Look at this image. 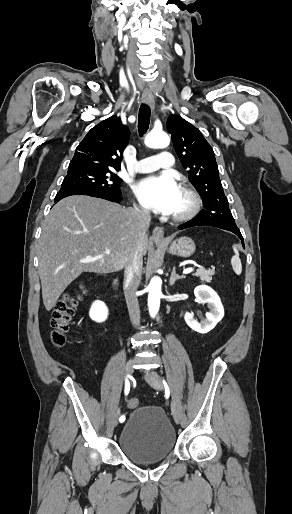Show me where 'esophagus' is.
<instances>
[{
  "label": "esophagus",
  "instance_id": "obj_1",
  "mask_svg": "<svg viewBox=\"0 0 292 514\" xmlns=\"http://www.w3.org/2000/svg\"><path fill=\"white\" fill-rule=\"evenodd\" d=\"M142 101L148 105L152 110L155 108V99L151 90H144L142 94ZM152 239L154 242L163 243L165 241V233L162 227H154L152 232Z\"/></svg>",
  "mask_w": 292,
  "mask_h": 514
}]
</instances>
